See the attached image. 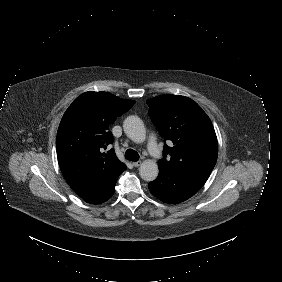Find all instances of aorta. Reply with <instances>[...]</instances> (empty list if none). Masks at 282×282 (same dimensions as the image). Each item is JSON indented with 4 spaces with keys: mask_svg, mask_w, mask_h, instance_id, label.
Here are the masks:
<instances>
[{
    "mask_svg": "<svg viewBox=\"0 0 282 282\" xmlns=\"http://www.w3.org/2000/svg\"><path fill=\"white\" fill-rule=\"evenodd\" d=\"M123 129L127 137L133 142H144L146 130L143 121L138 116H128L123 122ZM158 173V165L154 160H144L139 167L140 177L145 181L155 180Z\"/></svg>",
    "mask_w": 282,
    "mask_h": 282,
    "instance_id": "1",
    "label": "aorta"
}]
</instances>
